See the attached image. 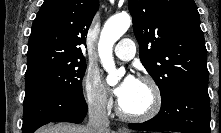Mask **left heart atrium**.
<instances>
[{
	"instance_id": "left-heart-atrium-1",
	"label": "left heart atrium",
	"mask_w": 221,
	"mask_h": 133,
	"mask_svg": "<svg viewBox=\"0 0 221 133\" xmlns=\"http://www.w3.org/2000/svg\"><path fill=\"white\" fill-rule=\"evenodd\" d=\"M138 80L132 74L127 75L123 81L114 89V94L119 98V100H123L126 98L136 86Z\"/></svg>"
}]
</instances>
